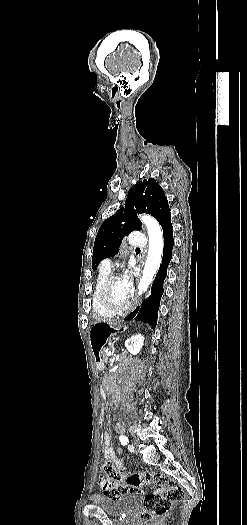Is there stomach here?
I'll use <instances>...</instances> for the list:
<instances>
[{
    "label": "stomach",
    "mask_w": 247,
    "mask_h": 525,
    "mask_svg": "<svg viewBox=\"0 0 247 525\" xmlns=\"http://www.w3.org/2000/svg\"><path fill=\"white\" fill-rule=\"evenodd\" d=\"M122 328H126V326L122 324L115 325L112 323H96L91 327L89 332L90 347L97 362L102 361L100 359V349L103 348V345L107 342L111 335L118 332Z\"/></svg>",
    "instance_id": "obj_1"
}]
</instances>
